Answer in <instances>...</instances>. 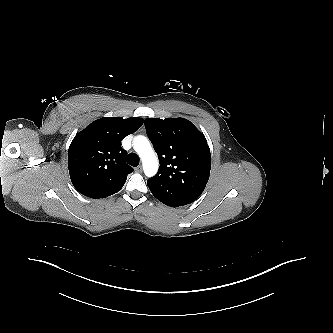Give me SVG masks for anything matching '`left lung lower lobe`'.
Returning <instances> with one entry per match:
<instances>
[{
	"label": "left lung lower lobe",
	"mask_w": 333,
	"mask_h": 333,
	"mask_svg": "<svg viewBox=\"0 0 333 333\" xmlns=\"http://www.w3.org/2000/svg\"><path fill=\"white\" fill-rule=\"evenodd\" d=\"M162 203L168 205L170 207H179L183 205L190 204L194 202L196 199L181 197L176 195H167L166 198L160 199Z\"/></svg>",
	"instance_id": "0a47b994"
}]
</instances>
